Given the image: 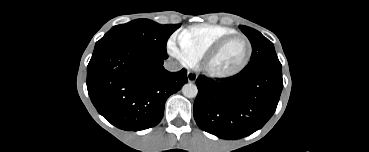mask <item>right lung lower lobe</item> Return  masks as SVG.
<instances>
[{"instance_id": "obj_1", "label": "right lung lower lobe", "mask_w": 369, "mask_h": 152, "mask_svg": "<svg viewBox=\"0 0 369 152\" xmlns=\"http://www.w3.org/2000/svg\"><path fill=\"white\" fill-rule=\"evenodd\" d=\"M166 58L128 42L94 51L87 67V89L99 114L126 131L157 125L167 98L188 82L185 69L165 70Z\"/></svg>"}]
</instances>
